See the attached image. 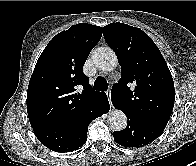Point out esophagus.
Segmentation results:
<instances>
[{"instance_id": "34e87169", "label": "esophagus", "mask_w": 196, "mask_h": 166, "mask_svg": "<svg viewBox=\"0 0 196 166\" xmlns=\"http://www.w3.org/2000/svg\"><path fill=\"white\" fill-rule=\"evenodd\" d=\"M106 93H107V96H108V100H109L110 106L113 107L112 101H111V91L108 90Z\"/></svg>"}]
</instances>
